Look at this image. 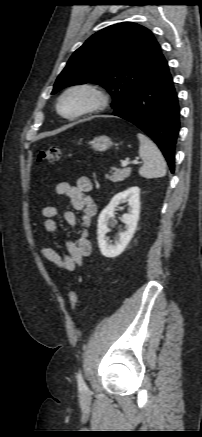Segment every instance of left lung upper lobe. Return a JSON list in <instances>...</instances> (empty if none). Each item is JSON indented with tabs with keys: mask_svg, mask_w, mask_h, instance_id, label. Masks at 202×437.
<instances>
[{
	"mask_svg": "<svg viewBox=\"0 0 202 437\" xmlns=\"http://www.w3.org/2000/svg\"><path fill=\"white\" fill-rule=\"evenodd\" d=\"M165 63L151 31L132 22L118 23L95 33L73 53L52 94L67 86L94 82L111 94L115 109L155 77Z\"/></svg>",
	"mask_w": 202,
	"mask_h": 437,
	"instance_id": "1",
	"label": "left lung upper lobe"
}]
</instances>
